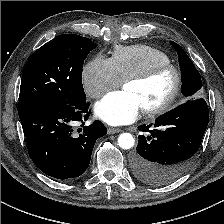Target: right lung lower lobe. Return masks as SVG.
Masks as SVG:
<instances>
[{"label": "right lung lower lobe", "mask_w": 224, "mask_h": 224, "mask_svg": "<svg viewBox=\"0 0 224 224\" xmlns=\"http://www.w3.org/2000/svg\"><path fill=\"white\" fill-rule=\"evenodd\" d=\"M89 103H44L19 114L29 156L45 174L60 180L80 176L88 168L96 140L107 133L101 122L84 126ZM81 122L80 134L74 124Z\"/></svg>", "instance_id": "98d812e1"}]
</instances>
